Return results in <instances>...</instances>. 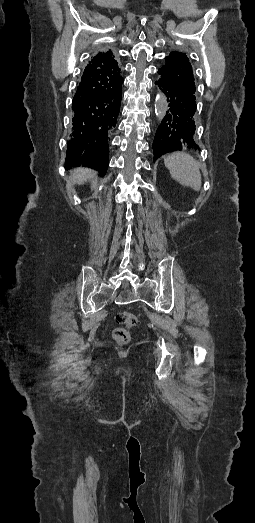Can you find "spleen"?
I'll return each mask as SVG.
<instances>
[{
    "label": "spleen",
    "instance_id": "obj_1",
    "mask_svg": "<svg viewBox=\"0 0 255 523\" xmlns=\"http://www.w3.org/2000/svg\"><path fill=\"white\" fill-rule=\"evenodd\" d=\"M164 164L168 168L172 178L177 180L181 186H190L199 192L201 188V174L197 162L192 156L184 152H175L164 158Z\"/></svg>",
    "mask_w": 255,
    "mask_h": 523
}]
</instances>
